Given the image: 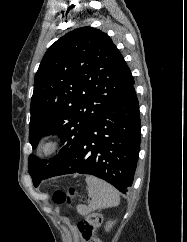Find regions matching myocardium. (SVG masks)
Instances as JSON below:
<instances>
[{"label":"myocardium","instance_id":"obj_1","mask_svg":"<svg viewBox=\"0 0 187 242\" xmlns=\"http://www.w3.org/2000/svg\"><path fill=\"white\" fill-rule=\"evenodd\" d=\"M60 148L61 141L57 137L45 140L40 146V150L45 156H51L56 154L60 150Z\"/></svg>","mask_w":187,"mask_h":242}]
</instances>
